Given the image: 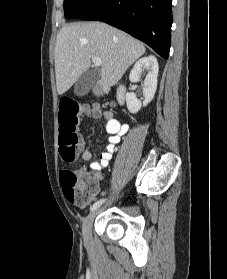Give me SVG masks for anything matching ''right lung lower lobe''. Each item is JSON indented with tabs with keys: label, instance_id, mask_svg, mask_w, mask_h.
Returning <instances> with one entry per match:
<instances>
[{
	"label": "right lung lower lobe",
	"instance_id": "right-lung-lower-lobe-1",
	"mask_svg": "<svg viewBox=\"0 0 227 279\" xmlns=\"http://www.w3.org/2000/svg\"><path fill=\"white\" fill-rule=\"evenodd\" d=\"M79 18L117 27L149 45L161 57L168 58L172 0H94Z\"/></svg>",
	"mask_w": 227,
	"mask_h": 279
}]
</instances>
